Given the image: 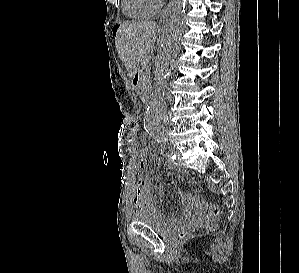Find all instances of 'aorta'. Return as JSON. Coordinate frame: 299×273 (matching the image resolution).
<instances>
[{
  "mask_svg": "<svg viewBox=\"0 0 299 273\" xmlns=\"http://www.w3.org/2000/svg\"><path fill=\"white\" fill-rule=\"evenodd\" d=\"M184 9L185 0H177L171 10L161 42L155 85L145 112V130L157 139L164 138L168 132V118L163 103L164 82L169 75L170 65L178 52L179 39L183 30Z\"/></svg>",
  "mask_w": 299,
  "mask_h": 273,
  "instance_id": "762f6f07",
  "label": "aorta"
}]
</instances>
